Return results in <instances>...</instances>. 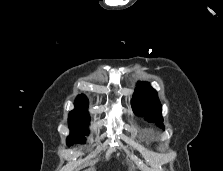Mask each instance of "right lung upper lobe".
<instances>
[{"label":"right lung upper lobe","mask_w":223,"mask_h":171,"mask_svg":"<svg viewBox=\"0 0 223 171\" xmlns=\"http://www.w3.org/2000/svg\"><path fill=\"white\" fill-rule=\"evenodd\" d=\"M76 109H87L88 99L85 95H79L75 100Z\"/></svg>","instance_id":"1"}]
</instances>
